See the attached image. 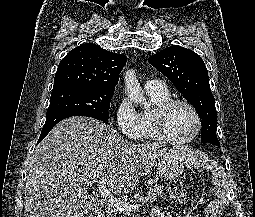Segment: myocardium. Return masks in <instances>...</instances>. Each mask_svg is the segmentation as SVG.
<instances>
[{
    "label": "myocardium",
    "mask_w": 255,
    "mask_h": 217,
    "mask_svg": "<svg viewBox=\"0 0 255 217\" xmlns=\"http://www.w3.org/2000/svg\"><path fill=\"white\" fill-rule=\"evenodd\" d=\"M177 104H183L187 106L192 111V113L194 114L196 118V122H197L196 129L193 132V134L189 136L188 138L176 139L168 133L166 128L167 114L171 110V108ZM153 123H154L155 134L158 140L166 142V143H170V144H186V143L192 142L199 135L203 126L202 118L197 108L194 106L193 103L182 98L169 99L165 101L164 103H162L160 106H158L156 110L154 111Z\"/></svg>",
    "instance_id": "1"
}]
</instances>
